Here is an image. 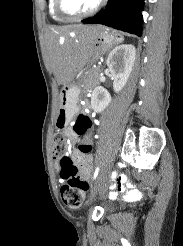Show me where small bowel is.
I'll return each mask as SVG.
<instances>
[{
  "label": "small bowel",
  "mask_w": 183,
  "mask_h": 246,
  "mask_svg": "<svg viewBox=\"0 0 183 246\" xmlns=\"http://www.w3.org/2000/svg\"><path fill=\"white\" fill-rule=\"evenodd\" d=\"M66 135L71 142H75L79 138V135L72 129H67ZM83 143H88L91 145V138L84 137ZM72 159L79 168L82 176L89 177L92 170L93 157H86V155H82V152H78L77 148L72 152ZM114 173L117 174V178H108L109 186L107 187V190L117 191V193H107V198H119V193H128V197L130 198L139 196V192L134 190L135 184H126L125 186L124 183H127L128 174H118V169H115ZM128 189H130L129 192Z\"/></svg>",
  "instance_id": "small-bowel-1"
}]
</instances>
